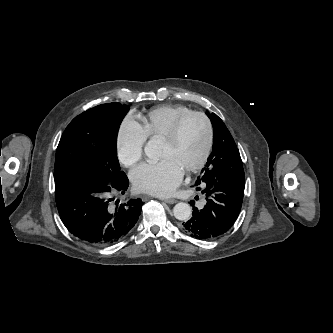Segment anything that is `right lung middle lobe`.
<instances>
[{"mask_svg":"<svg viewBox=\"0 0 333 333\" xmlns=\"http://www.w3.org/2000/svg\"><path fill=\"white\" fill-rule=\"evenodd\" d=\"M129 107L106 103L75 117L67 126L56 150L55 187L70 179L107 168L121 171L117 158V134Z\"/></svg>","mask_w":333,"mask_h":333,"instance_id":"right-lung-middle-lobe-1","label":"right lung middle lobe"}]
</instances>
